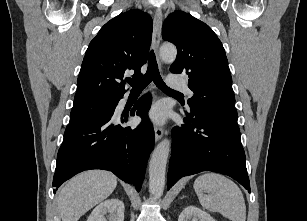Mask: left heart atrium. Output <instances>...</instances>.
<instances>
[{
	"label": "left heart atrium",
	"instance_id": "39dd6f15",
	"mask_svg": "<svg viewBox=\"0 0 307 221\" xmlns=\"http://www.w3.org/2000/svg\"><path fill=\"white\" fill-rule=\"evenodd\" d=\"M150 118L156 123H163L167 117V108L163 104L155 105L150 113Z\"/></svg>",
	"mask_w": 307,
	"mask_h": 221
}]
</instances>
